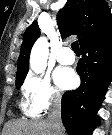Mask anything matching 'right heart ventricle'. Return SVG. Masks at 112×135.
Listing matches in <instances>:
<instances>
[{
	"label": "right heart ventricle",
	"mask_w": 112,
	"mask_h": 135,
	"mask_svg": "<svg viewBox=\"0 0 112 135\" xmlns=\"http://www.w3.org/2000/svg\"><path fill=\"white\" fill-rule=\"evenodd\" d=\"M21 108L26 115L33 116V117L38 115L37 112H35L33 109L30 108V106L26 101L21 102Z\"/></svg>",
	"instance_id": "obj_1"
}]
</instances>
